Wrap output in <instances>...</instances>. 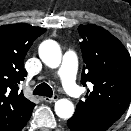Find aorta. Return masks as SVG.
<instances>
[{"label": "aorta", "instance_id": "obj_1", "mask_svg": "<svg viewBox=\"0 0 131 131\" xmlns=\"http://www.w3.org/2000/svg\"><path fill=\"white\" fill-rule=\"evenodd\" d=\"M39 56L51 68H57L61 63L62 54L60 47L53 40H46L41 43ZM55 113L62 119H68L74 113V105L68 99H60L55 103Z\"/></svg>", "mask_w": 131, "mask_h": 131}]
</instances>
